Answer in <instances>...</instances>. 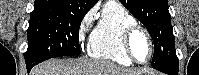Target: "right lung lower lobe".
<instances>
[{
	"instance_id": "obj_1",
	"label": "right lung lower lobe",
	"mask_w": 199,
	"mask_h": 75,
	"mask_svg": "<svg viewBox=\"0 0 199 75\" xmlns=\"http://www.w3.org/2000/svg\"><path fill=\"white\" fill-rule=\"evenodd\" d=\"M36 65L35 63H31L29 61H26V67H27V71L28 73L30 72V70L32 69V67Z\"/></svg>"
}]
</instances>
